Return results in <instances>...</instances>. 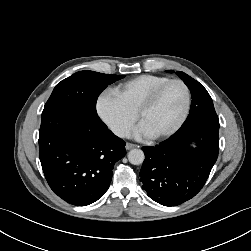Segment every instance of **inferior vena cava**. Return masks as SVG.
I'll use <instances>...</instances> for the list:
<instances>
[{
  "label": "inferior vena cava",
  "mask_w": 251,
  "mask_h": 251,
  "mask_svg": "<svg viewBox=\"0 0 251 251\" xmlns=\"http://www.w3.org/2000/svg\"><path fill=\"white\" fill-rule=\"evenodd\" d=\"M112 132L119 136V137H123V138H130L131 133L128 129L123 128V127H119V126H115L112 128Z\"/></svg>",
  "instance_id": "obj_1"
}]
</instances>
